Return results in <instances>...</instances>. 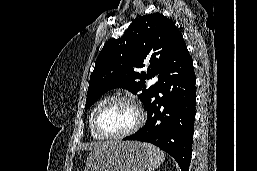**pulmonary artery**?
Here are the masks:
<instances>
[{"instance_id": "e3ab8cb5", "label": "pulmonary artery", "mask_w": 257, "mask_h": 171, "mask_svg": "<svg viewBox=\"0 0 257 171\" xmlns=\"http://www.w3.org/2000/svg\"><path fill=\"white\" fill-rule=\"evenodd\" d=\"M155 82H157V77H155V78L153 79V83H155Z\"/></svg>"}]
</instances>
